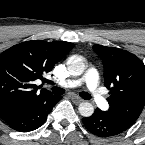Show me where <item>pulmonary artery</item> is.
<instances>
[{
    "mask_svg": "<svg viewBox=\"0 0 145 145\" xmlns=\"http://www.w3.org/2000/svg\"><path fill=\"white\" fill-rule=\"evenodd\" d=\"M82 83L87 85L88 92L92 100L100 107L107 105V100L103 91L99 87V74L96 69L90 68L86 75L81 79H68L59 81L58 84L62 87L74 88L80 86Z\"/></svg>",
    "mask_w": 145,
    "mask_h": 145,
    "instance_id": "obj_1",
    "label": "pulmonary artery"
}]
</instances>
